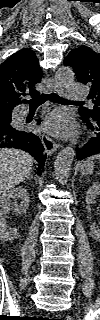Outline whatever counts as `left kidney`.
Returning a JSON list of instances; mask_svg holds the SVG:
<instances>
[{"instance_id":"1","label":"left kidney","mask_w":100,"mask_h":320,"mask_svg":"<svg viewBox=\"0 0 100 320\" xmlns=\"http://www.w3.org/2000/svg\"><path fill=\"white\" fill-rule=\"evenodd\" d=\"M100 195V186L99 185H93L91 186L88 191L86 192V203L87 204H93L95 203L96 199ZM90 235L95 238H100V230L96 226V224H92L90 227Z\"/></svg>"}]
</instances>
